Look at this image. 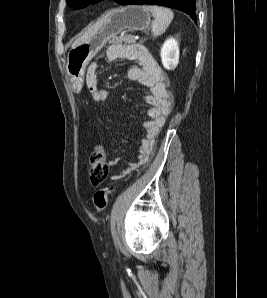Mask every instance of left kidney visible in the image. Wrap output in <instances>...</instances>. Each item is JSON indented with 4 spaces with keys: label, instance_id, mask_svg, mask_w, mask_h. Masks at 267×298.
<instances>
[{
    "label": "left kidney",
    "instance_id": "obj_1",
    "mask_svg": "<svg viewBox=\"0 0 267 298\" xmlns=\"http://www.w3.org/2000/svg\"><path fill=\"white\" fill-rule=\"evenodd\" d=\"M179 46L174 38L167 39L161 48V60L165 69L174 70L179 62Z\"/></svg>",
    "mask_w": 267,
    "mask_h": 298
}]
</instances>
